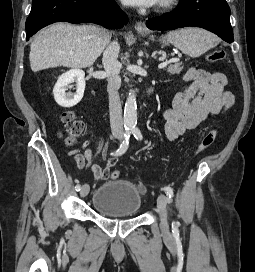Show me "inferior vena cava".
Masks as SVG:
<instances>
[{"label": "inferior vena cava", "mask_w": 255, "mask_h": 272, "mask_svg": "<svg viewBox=\"0 0 255 272\" xmlns=\"http://www.w3.org/2000/svg\"><path fill=\"white\" fill-rule=\"evenodd\" d=\"M120 46L118 42H111L103 52L102 63L107 76V92L109 96V113L111 131L114 135L123 134L122 107L118 89L121 86L119 75L121 64L117 60Z\"/></svg>", "instance_id": "602c4592"}]
</instances>
